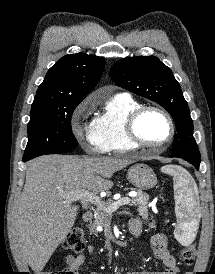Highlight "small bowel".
I'll use <instances>...</instances> for the list:
<instances>
[{"label": "small bowel", "mask_w": 215, "mask_h": 274, "mask_svg": "<svg viewBox=\"0 0 215 274\" xmlns=\"http://www.w3.org/2000/svg\"><path fill=\"white\" fill-rule=\"evenodd\" d=\"M130 229H138L139 231L142 228V223L139 218H133L129 223ZM151 247L155 257L161 260L165 266V269L157 272H130L129 274H177L178 266L175 256L168 249L167 238L162 233H156L151 237ZM86 252L88 254H93L95 252V247L93 245H88L86 248ZM86 260V254L81 253L77 256H67L66 270L70 272V274H79L80 268ZM91 274H100L98 272H92ZM121 274V273H116ZM184 274H192L191 272H186Z\"/></svg>", "instance_id": "1"}]
</instances>
